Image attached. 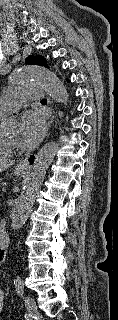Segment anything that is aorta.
I'll return each mask as SVG.
<instances>
[{
  "instance_id": "obj_1",
  "label": "aorta",
  "mask_w": 118,
  "mask_h": 320,
  "mask_svg": "<svg viewBox=\"0 0 118 320\" xmlns=\"http://www.w3.org/2000/svg\"><path fill=\"white\" fill-rule=\"evenodd\" d=\"M10 78L15 84L30 81L39 82L54 101L64 104L68 101L69 95L64 84L52 71L45 67L37 65L25 66L15 70ZM1 125L11 128L15 125V120L5 118L1 121ZM58 149L59 145L56 142H49L38 152L33 171L24 185L12 214L11 228L13 230L19 229L27 221L29 211L43 183L46 171L57 154Z\"/></svg>"
}]
</instances>
